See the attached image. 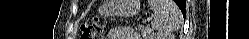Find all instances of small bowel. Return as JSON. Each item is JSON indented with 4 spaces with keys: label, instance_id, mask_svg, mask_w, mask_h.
<instances>
[{
    "label": "small bowel",
    "instance_id": "1",
    "mask_svg": "<svg viewBox=\"0 0 249 39\" xmlns=\"http://www.w3.org/2000/svg\"><path fill=\"white\" fill-rule=\"evenodd\" d=\"M111 31L118 36L126 37L129 39H133L136 36V33L128 28L118 29V28H112Z\"/></svg>",
    "mask_w": 249,
    "mask_h": 39
}]
</instances>
